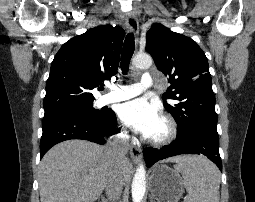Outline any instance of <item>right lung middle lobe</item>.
Listing matches in <instances>:
<instances>
[{"mask_svg":"<svg viewBox=\"0 0 255 202\" xmlns=\"http://www.w3.org/2000/svg\"><path fill=\"white\" fill-rule=\"evenodd\" d=\"M59 114H80V115H84L89 118H92L95 121H102L105 119V117H107V113L105 111H101V110H97L93 108V103L76 105V106L58 110L49 114H45L44 116L59 115Z\"/></svg>","mask_w":255,"mask_h":202,"instance_id":"right-lung-middle-lobe-1","label":"right lung middle lobe"}]
</instances>
